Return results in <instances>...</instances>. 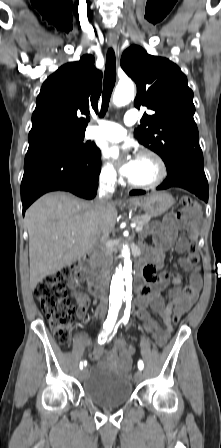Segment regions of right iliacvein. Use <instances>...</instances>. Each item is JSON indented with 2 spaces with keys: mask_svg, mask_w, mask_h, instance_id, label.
Returning <instances> with one entry per match:
<instances>
[{
  "mask_svg": "<svg viewBox=\"0 0 221 448\" xmlns=\"http://www.w3.org/2000/svg\"><path fill=\"white\" fill-rule=\"evenodd\" d=\"M86 372H87V369H86V368L81 369V370L79 371V374H78L79 379L82 380V379L84 378V376L86 375Z\"/></svg>",
  "mask_w": 221,
  "mask_h": 448,
  "instance_id": "right-iliac-vein-1",
  "label": "right iliac vein"
}]
</instances>
